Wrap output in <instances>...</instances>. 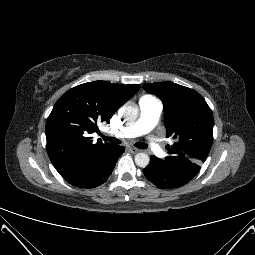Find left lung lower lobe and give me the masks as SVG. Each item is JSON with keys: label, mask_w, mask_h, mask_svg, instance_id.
<instances>
[{"label": "left lung lower lobe", "mask_w": 255, "mask_h": 255, "mask_svg": "<svg viewBox=\"0 0 255 255\" xmlns=\"http://www.w3.org/2000/svg\"><path fill=\"white\" fill-rule=\"evenodd\" d=\"M143 173L150 182L162 189L181 187L194 177L164 166L155 156H151L150 163Z\"/></svg>", "instance_id": "1"}]
</instances>
